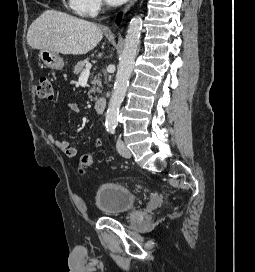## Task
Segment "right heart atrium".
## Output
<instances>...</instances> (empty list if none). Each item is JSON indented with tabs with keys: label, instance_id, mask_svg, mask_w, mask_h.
I'll return each instance as SVG.
<instances>
[{
	"label": "right heart atrium",
	"instance_id": "1",
	"mask_svg": "<svg viewBox=\"0 0 255 272\" xmlns=\"http://www.w3.org/2000/svg\"><path fill=\"white\" fill-rule=\"evenodd\" d=\"M102 7V0H71L72 10L86 17L96 15Z\"/></svg>",
	"mask_w": 255,
	"mask_h": 272
}]
</instances>
